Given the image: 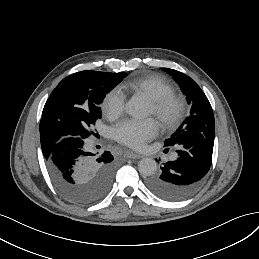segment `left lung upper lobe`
I'll use <instances>...</instances> for the list:
<instances>
[{
  "instance_id": "1",
  "label": "left lung upper lobe",
  "mask_w": 259,
  "mask_h": 259,
  "mask_svg": "<svg viewBox=\"0 0 259 259\" xmlns=\"http://www.w3.org/2000/svg\"><path fill=\"white\" fill-rule=\"evenodd\" d=\"M179 84L186 100L190 105V116L176 130L171 137L165 140V147H177L187 131L203 132L208 139H213L215 122L212 107L198 84L189 76L173 69L163 68Z\"/></svg>"
}]
</instances>
